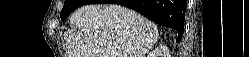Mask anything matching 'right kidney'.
<instances>
[{"label":"right kidney","instance_id":"ca27d5eb","mask_svg":"<svg viewBox=\"0 0 249 57\" xmlns=\"http://www.w3.org/2000/svg\"><path fill=\"white\" fill-rule=\"evenodd\" d=\"M154 55H155V57H159V56L162 55V53H161V51H157V52L154 53Z\"/></svg>","mask_w":249,"mask_h":57}]
</instances>
